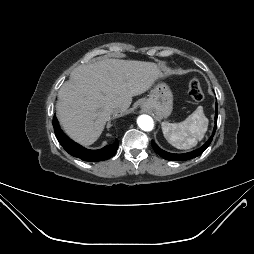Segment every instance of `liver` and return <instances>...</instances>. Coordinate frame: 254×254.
Returning <instances> with one entry per match:
<instances>
[{
    "instance_id": "6515ba94",
    "label": "liver",
    "mask_w": 254,
    "mask_h": 254,
    "mask_svg": "<svg viewBox=\"0 0 254 254\" xmlns=\"http://www.w3.org/2000/svg\"><path fill=\"white\" fill-rule=\"evenodd\" d=\"M160 77L155 63L104 59L75 68L58 92V120L68 136L89 146L112 114L127 112L132 97L146 92ZM115 106H122L118 113Z\"/></svg>"
}]
</instances>
